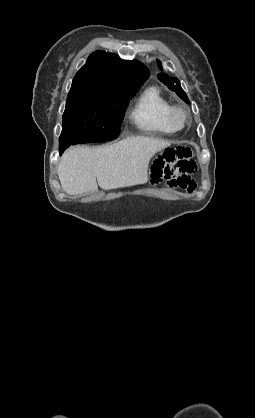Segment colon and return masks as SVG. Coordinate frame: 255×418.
<instances>
[{
	"mask_svg": "<svg viewBox=\"0 0 255 418\" xmlns=\"http://www.w3.org/2000/svg\"><path fill=\"white\" fill-rule=\"evenodd\" d=\"M195 170L196 165L190 148L184 146L168 148L153 163L151 183L159 185L166 182L170 187H179L192 192L196 184L191 174Z\"/></svg>",
	"mask_w": 255,
	"mask_h": 418,
	"instance_id": "colon-1",
	"label": "colon"
}]
</instances>
